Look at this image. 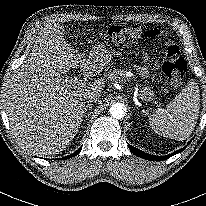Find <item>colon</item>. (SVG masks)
<instances>
[{"mask_svg":"<svg viewBox=\"0 0 206 206\" xmlns=\"http://www.w3.org/2000/svg\"><path fill=\"white\" fill-rule=\"evenodd\" d=\"M109 39L114 43L126 44L135 38H151L161 47L163 73L173 84L181 83L187 69L185 60L181 57L180 49L173 43L172 36L167 29L151 27L144 29L140 25L113 27L108 32Z\"/></svg>","mask_w":206,"mask_h":206,"instance_id":"5ec220e1","label":"colon"}]
</instances>
